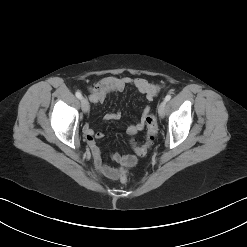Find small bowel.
Listing matches in <instances>:
<instances>
[{
  "label": "small bowel",
  "mask_w": 247,
  "mask_h": 247,
  "mask_svg": "<svg viewBox=\"0 0 247 247\" xmlns=\"http://www.w3.org/2000/svg\"><path fill=\"white\" fill-rule=\"evenodd\" d=\"M127 86H133L138 92L143 94L148 101H151L160 89L158 85L150 83L144 78L107 76L89 88V100L93 104L102 103L108 94L123 92ZM149 111L150 108L148 106L143 108L140 120L127 127V132L129 134H134L143 130L145 118L149 114ZM120 117L121 113L118 111L105 115L106 120H118ZM83 133L87 138L97 171L109 179H116L117 171L103 162L102 152L96 143V140L102 139L104 134L100 131H94L89 124L84 125ZM111 158L115 162L128 166H132L137 162L136 156L122 153H114Z\"/></svg>",
  "instance_id": "small-bowel-1"
}]
</instances>
